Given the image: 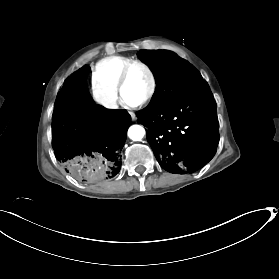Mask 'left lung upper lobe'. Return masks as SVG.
Listing matches in <instances>:
<instances>
[{
    "label": "left lung upper lobe",
    "mask_w": 279,
    "mask_h": 279,
    "mask_svg": "<svg viewBox=\"0 0 279 279\" xmlns=\"http://www.w3.org/2000/svg\"><path fill=\"white\" fill-rule=\"evenodd\" d=\"M137 55L149 65L156 79L155 93L149 105L142 110L146 113L166 107L191 89L205 83L192 65L179 59L171 51L141 50Z\"/></svg>",
    "instance_id": "5c2ea615"
}]
</instances>
